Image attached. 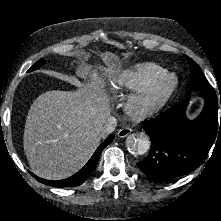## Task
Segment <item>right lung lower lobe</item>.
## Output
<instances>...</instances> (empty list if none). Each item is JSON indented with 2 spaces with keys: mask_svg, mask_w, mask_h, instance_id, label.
I'll list each match as a JSON object with an SVG mask.
<instances>
[{
  "mask_svg": "<svg viewBox=\"0 0 221 221\" xmlns=\"http://www.w3.org/2000/svg\"><path fill=\"white\" fill-rule=\"evenodd\" d=\"M114 139V136H109L100 146L96 149L93 156L90 158V160L84 165L83 168H81L77 173L70 176L69 178L63 179V180H45L40 177L35 176L33 173H31L39 182L43 184H47L53 187L58 188H65V187H75L78 185H81L94 171L98 160L100 158L101 152L103 149L112 142Z\"/></svg>",
  "mask_w": 221,
  "mask_h": 221,
  "instance_id": "1",
  "label": "right lung lower lobe"
}]
</instances>
